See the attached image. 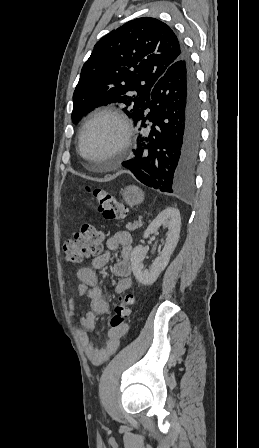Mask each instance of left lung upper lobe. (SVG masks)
I'll use <instances>...</instances> for the list:
<instances>
[{
	"instance_id": "1",
	"label": "left lung upper lobe",
	"mask_w": 259,
	"mask_h": 448,
	"mask_svg": "<svg viewBox=\"0 0 259 448\" xmlns=\"http://www.w3.org/2000/svg\"><path fill=\"white\" fill-rule=\"evenodd\" d=\"M182 55L177 35L156 18H137L111 31L83 65L72 122L110 103L125 105L124 112L132 117L148 105L156 82Z\"/></svg>"
}]
</instances>
